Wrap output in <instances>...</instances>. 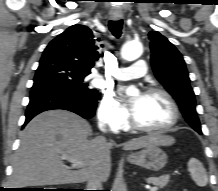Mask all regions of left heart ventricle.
<instances>
[{
    "mask_svg": "<svg viewBox=\"0 0 218 191\" xmlns=\"http://www.w3.org/2000/svg\"><path fill=\"white\" fill-rule=\"evenodd\" d=\"M136 110L133 113L137 122L149 128H161L169 124L173 113L168 101L161 95L144 94L138 96Z\"/></svg>",
    "mask_w": 218,
    "mask_h": 191,
    "instance_id": "1",
    "label": "left heart ventricle"
}]
</instances>
